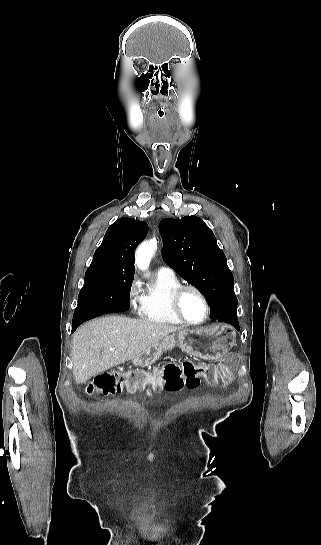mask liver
I'll return each instance as SVG.
<instances>
[{
	"label": "liver",
	"mask_w": 321,
	"mask_h": 545,
	"mask_svg": "<svg viewBox=\"0 0 321 545\" xmlns=\"http://www.w3.org/2000/svg\"><path fill=\"white\" fill-rule=\"evenodd\" d=\"M176 331H182L181 327L128 317H101L89 321L73 335L71 359L74 379L76 383H86L93 375L135 359L142 351Z\"/></svg>",
	"instance_id": "6515ba94"
}]
</instances>
